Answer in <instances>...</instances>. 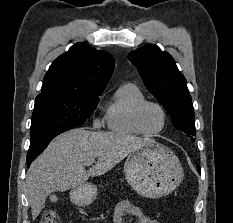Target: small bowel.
<instances>
[{
  "mask_svg": "<svg viewBox=\"0 0 233 223\" xmlns=\"http://www.w3.org/2000/svg\"><path fill=\"white\" fill-rule=\"evenodd\" d=\"M127 217L136 219V223H158L157 220L149 218L136 205L128 200L118 202L113 212V223H125Z\"/></svg>",
  "mask_w": 233,
  "mask_h": 223,
  "instance_id": "small-bowel-1",
  "label": "small bowel"
}]
</instances>
